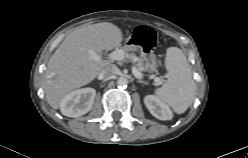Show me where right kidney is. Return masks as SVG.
Returning a JSON list of instances; mask_svg holds the SVG:
<instances>
[{"label":"right kidney","mask_w":248,"mask_h":158,"mask_svg":"<svg viewBox=\"0 0 248 158\" xmlns=\"http://www.w3.org/2000/svg\"><path fill=\"white\" fill-rule=\"evenodd\" d=\"M95 96L96 90L91 87L72 91L61 101V113L73 118L82 116L91 110Z\"/></svg>","instance_id":"1"}]
</instances>
